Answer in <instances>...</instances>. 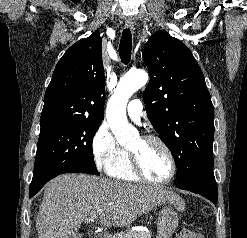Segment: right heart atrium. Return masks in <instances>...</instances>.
Returning <instances> with one entry per match:
<instances>
[{
    "instance_id": "right-heart-atrium-1",
    "label": "right heart atrium",
    "mask_w": 247,
    "mask_h": 238,
    "mask_svg": "<svg viewBox=\"0 0 247 238\" xmlns=\"http://www.w3.org/2000/svg\"><path fill=\"white\" fill-rule=\"evenodd\" d=\"M91 150L96 168L105 172H108L124 153V149L117 143L105 122L96 129L92 137Z\"/></svg>"
}]
</instances>
